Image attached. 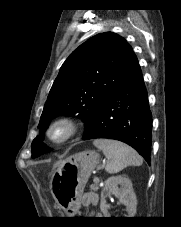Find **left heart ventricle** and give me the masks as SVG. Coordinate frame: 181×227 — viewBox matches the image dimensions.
I'll return each instance as SVG.
<instances>
[{
  "label": "left heart ventricle",
  "instance_id": "left-heart-ventricle-1",
  "mask_svg": "<svg viewBox=\"0 0 181 227\" xmlns=\"http://www.w3.org/2000/svg\"><path fill=\"white\" fill-rule=\"evenodd\" d=\"M61 135V132H59V131H57L56 133H55V136L56 137H59Z\"/></svg>",
  "mask_w": 181,
  "mask_h": 227
}]
</instances>
